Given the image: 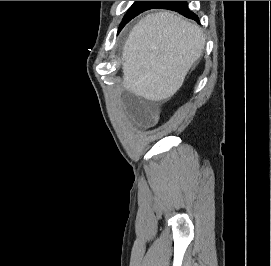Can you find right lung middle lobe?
Masks as SVG:
<instances>
[{
	"mask_svg": "<svg viewBox=\"0 0 271 266\" xmlns=\"http://www.w3.org/2000/svg\"><path fill=\"white\" fill-rule=\"evenodd\" d=\"M159 2L160 1H135L134 4L127 11L126 15L124 16L123 21L120 25L119 31L122 29V27L126 23H128L135 16L139 15L143 11H146L148 9H152Z\"/></svg>",
	"mask_w": 271,
	"mask_h": 266,
	"instance_id": "dd1d6c3e",
	"label": "right lung middle lobe"
}]
</instances>
